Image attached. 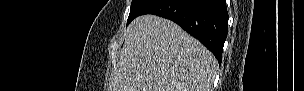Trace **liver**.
Masks as SVG:
<instances>
[{
  "label": "liver",
  "instance_id": "obj_1",
  "mask_svg": "<svg viewBox=\"0 0 304 91\" xmlns=\"http://www.w3.org/2000/svg\"><path fill=\"white\" fill-rule=\"evenodd\" d=\"M217 60L174 22L137 17L128 26L109 91H210Z\"/></svg>",
  "mask_w": 304,
  "mask_h": 91
}]
</instances>
